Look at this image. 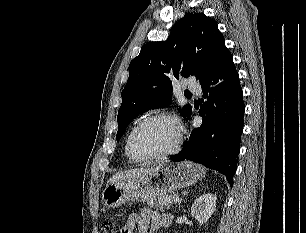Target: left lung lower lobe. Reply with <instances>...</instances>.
<instances>
[{
  "instance_id": "0a47b994",
  "label": "left lung lower lobe",
  "mask_w": 306,
  "mask_h": 233,
  "mask_svg": "<svg viewBox=\"0 0 306 233\" xmlns=\"http://www.w3.org/2000/svg\"><path fill=\"white\" fill-rule=\"evenodd\" d=\"M202 125L184 142L172 161L188 159L224 174L230 186L236 172L243 131L244 102L239 75L227 51L212 73L201 83Z\"/></svg>"
}]
</instances>
